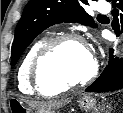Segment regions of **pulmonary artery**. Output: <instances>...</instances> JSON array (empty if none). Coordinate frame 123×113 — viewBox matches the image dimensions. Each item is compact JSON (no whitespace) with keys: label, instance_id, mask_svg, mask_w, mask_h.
<instances>
[{"label":"pulmonary artery","instance_id":"pulmonary-artery-1","mask_svg":"<svg viewBox=\"0 0 123 113\" xmlns=\"http://www.w3.org/2000/svg\"><path fill=\"white\" fill-rule=\"evenodd\" d=\"M97 11L100 13H107L109 11V5L106 2L97 3Z\"/></svg>","mask_w":123,"mask_h":113}]
</instances>
